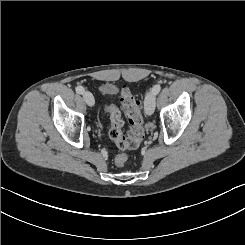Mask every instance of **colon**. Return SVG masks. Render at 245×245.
I'll return each mask as SVG.
<instances>
[{"label":"colon","instance_id":"obj_1","mask_svg":"<svg viewBox=\"0 0 245 245\" xmlns=\"http://www.w3.org/2000/svg\"><path fill=\"white\" fill-rule=\"evenodd\" d=\"M120 101L122 110L129 123V132L127 136L122 133L123 120L119 110L114 106H108L107 112L110 115L111 127L109 130L110 138L116 143L122 151L137 148L144 137L143 116L139 101L134 97L131 90L124 86L120 92ZM128 162V156L120 153L115 158V163L123 167Z\"/></svg>","mask_w":245,"mask_h":245}]
</instances>
